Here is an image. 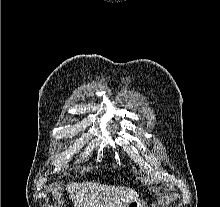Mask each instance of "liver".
I'll list each match as a JSON object with an SVG mask.
<instances>
[{"label": "liver", "instance_id": "1", "mask_svg": "<svg viewBox=\"0 0 220 207\" xmlns=\"http://www.w3.org/2000/svg\"><path fill=\"white\" fill-rule=\"evenodd\" d=\"M66 190L74 207H127L138 198V193L130 188L96 182H71Z\"/></svg>", "mask_w": 220, "mask_h": 207}]
</instances>
